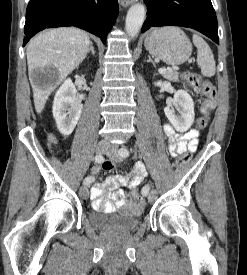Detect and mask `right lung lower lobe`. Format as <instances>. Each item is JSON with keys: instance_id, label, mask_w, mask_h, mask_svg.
Returning <instances> with one entry per match:
<instances>
[{"instance_id": "obj_1", "label": "right lung lower lobe", "mask_w": 247, "mask_h": 275, "mask_svg": "<svg viewBox=\"0 0 247 275\" xmlns=\"http://www.w3.org/2000/svg\"><path fill=\"white\" fill-rule=\"evenodd\" d=\"M118 13L117 0H30L23 46L39 31L62 26L79 27L106 43Z\"/></svg>"}]
</instances>
